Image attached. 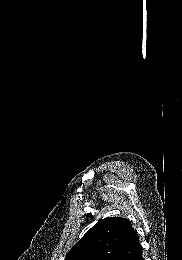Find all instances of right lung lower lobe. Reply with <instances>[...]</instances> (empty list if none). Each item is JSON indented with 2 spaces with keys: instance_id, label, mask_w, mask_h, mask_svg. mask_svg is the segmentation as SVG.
Listing matches in <instances>:
<instances>
[{
  "instance_id": "obj_1",
  "label": "right lung lower lobe",
  "mask_w": 182,
  "mask_h": 260,
  "mask_svg": "<svg viewBox=\"0 0 182 260\" xmlns=\"http://www.w3.org/2000/svg\"><path fill=\"white\" fill-rule=\"evenodd\" d=\"M132 260H143L142 251L139 252L135 257H133Z\"/></svg>"
}]
</instances>
